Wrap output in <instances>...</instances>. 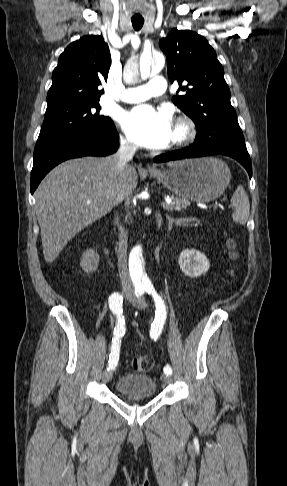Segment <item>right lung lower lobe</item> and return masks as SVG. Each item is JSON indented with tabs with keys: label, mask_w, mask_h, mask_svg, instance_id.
Segmentation results:
<instances>
[{
	"label": "right lung lower lobe",
	"mask_w": 287,
	"mask_h": 486,
	"mask_svg": "<svg viewBox=\"0 0 287 486\" xmlns=\"http://www.w3.org/2000/svg\"><path fill=\"white\" fill-rule=\"evenodd\" d=\"M118 133L111 124L92 135L65 136L38 140L34 149L31 171V193L33 194L44 176L59 163L83 156H106L118 149Z\"/></svg>",
	"instance_id": "1"
}]
</instances>
